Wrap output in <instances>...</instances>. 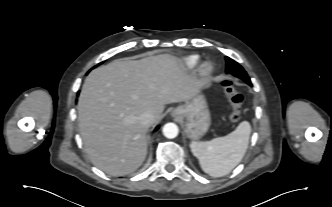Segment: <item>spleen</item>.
Returning a JSON list of instances; mask_svg holds the SVG:
<instances>
[{"label":"spleen","instance_id":"1","mask_svg":"<svg viewBox=\"0 0 332 207\" xmlns=\"http://www.w3.org/2000/svg\"><path fill=\"white\" fill-rule=\"evenodd\" d=\"M250 133V123L243 121L224 137L206 142L191 141V151L198 158L205 173L213 177H222L230 173L244 157Z\"/></svg>","mask_w":332,"mask_h":207}]
</instances>
